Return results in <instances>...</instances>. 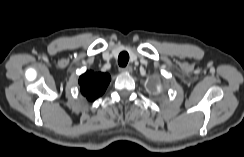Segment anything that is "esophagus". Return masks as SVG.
<instances>
[{"mask_svg": "<svg viewBox=\"0 0 244 157\" xmlns=\"http://www.w3.org/2000/svg\"><path fill=\"white\" fill-rule=\"evenodd\" d=\"M119 71L121 73H131L132 72V67L131 66H127V67H124V68H119Z\"/></svg>", "mask_w": 244, "mask_h": 157, "instance_id": "esophagus-1", "label": "esophagus"}]
</instances>
